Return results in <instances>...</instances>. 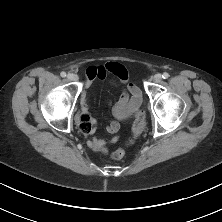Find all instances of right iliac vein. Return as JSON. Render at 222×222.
Instances as JSON below:
<instances>
[{
	"label": "right iliac vein",
	"instance_id": "right-iliac-vein-1",
	"mask_svg": "<svg viewBox=\"0 0 222 222\" xmlns=\"http://www.w3.org/2000/svg\"><path fill=\"white\" fill-rule=\"evenodd\" d=\"M67 78L70 80V81H77L78 80V76L74 73H69L67 75Z\"/></svg>",
	"mask_w": 222,
	"mask_h": 222
}]
</instances>
